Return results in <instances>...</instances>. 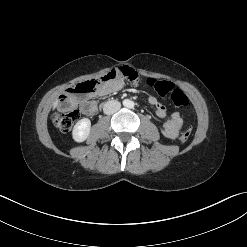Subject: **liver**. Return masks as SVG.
Wrapping results in <instances>:
<instances>
[{"label": "liver", "instance_id": "obj_1", "mask_svg": "<svg viewBox=\"0 0 247 247\" xmlns=\"http://www.w3.org/2000/svg\"><path fill=\"white\" fill-rule=\"evenodd\" d=\"M58 106V100H56L55 102H54V108H56Z\"/></svg>", "mask_w": 247, "mask_h": 247}]
</instances>
